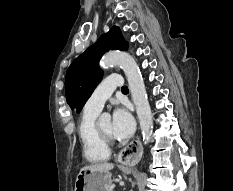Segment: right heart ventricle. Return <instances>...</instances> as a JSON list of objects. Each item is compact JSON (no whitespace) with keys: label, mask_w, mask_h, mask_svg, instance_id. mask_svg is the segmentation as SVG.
<instances>
[{"label":"right heart ventricle","mask_w":233,"mask_h":191,"mask_svg":"<svg viewBox=\"0 0 233 191\" xmlns=\"http://www.w3.org/2000/svg\"><path fill=\"white\" fill-rule=\"evenodd\" d=\"M97 116V112L85 110L78 126L84 157L91 163L106 161L110 156L108 145L100 139L96 131Z\"/></svg>","instance_id":"right-heart-ventricle-1"}]
</instances>
